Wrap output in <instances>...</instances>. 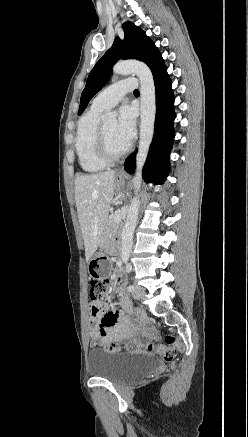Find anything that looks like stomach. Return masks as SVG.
<instances>
[{
    "label": "stomach",
    "instance_id": "1",
    "mask_svg": "<svg viewBox=\"0 0 248 437\" xmlns=\"http://www.w3.org/2000/svg\"><path fill=\"white\" fill-rule=\"evenodd\" d=\"M117 188H121L125 184V178L117 176ZM91 279H108L109 272L113 270V263L110 262L109 256H106L104 250H97L95 256L89 262L88 267Z\"/></svg>",
    "mask_w": 248,
    "mask_h": 437
}]
</instances>
